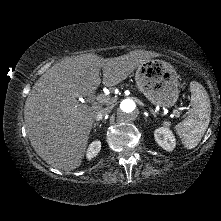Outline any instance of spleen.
Here are the masks:
<instances>
[{
  "label": "spleen",
  "mask_w": 221,
  "mask_h": 221,
  "mask_svg": "<svg viewBox=\"0 0 221 221\" xmlns=\"http://www.w3.org/2000/svg\"><path fill=\"white\" fill-rule=\"evenodd\" d=\"M191 113L182 122L175 126L182 144L187 149L195 148L201 141L210 122L211 105L205 88L198 82L190 83ZM169 126L170 122H164Z\"/></svg>",
  "instance_id": "spleen-1"
}]
</instances>
